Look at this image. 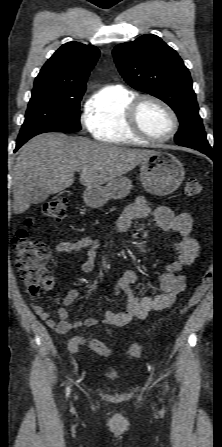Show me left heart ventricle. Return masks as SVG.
<instances>
[{"label":"left heart ventricle","instance_id":"1","mask_svg":"<svg viewBox=\"0 0 222 447\" xmlns=\"http://www.w3.org/2000/svg\"><path fill=\"white\" fill-rule=\"evenodd\" d=\"M141 127L152 137H165L172 128L168 113L156 103L144 102L139 110Z\"/></svg>","mask_w":222,"mask_h":447}]
</instances>
